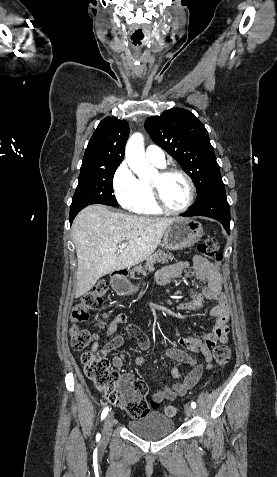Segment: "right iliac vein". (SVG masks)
Wrapping results in <instances>:
<instances>
[{"instance_id":"63e3f726","label":"right iliac vein","mask_w":277,"mask_h":477,"mask_svg":"<svg viewBox=\"0 0 277 477\" xmlns=\"http://www.w3.org/2000/svg\"><path fill=\"white\" fill-rule=\"evenodd\" d=\"M113 422H114V413L110 412L104 421L102 442H106L109 439L111 435L112 427H113Z\"/></svg>"}]
</instances>
